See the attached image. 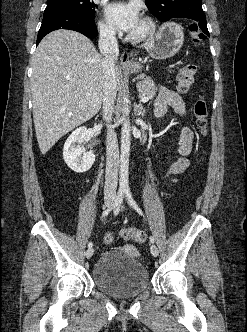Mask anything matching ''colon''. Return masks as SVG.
<instances>
[{"instance_id":"colon-1","label":"colon","mask_w":247,"mask_h":332,"mask_svg":"<svg viewBox=\"0 0 247 332\" xmlns=\"http://www.w3.org/2000/svg\"><path fill=\"white\" fill-rule=\"evenodd\" d=\"M188 33L195 43H199L205 39L204 32L195 24L188 27ZM197 74V67L194 64H187L183 66L178 73L177 83L180 92H186L194 83ZM193 114L197 128L202 135L207 134L208 126V107L207 102L203 95L199 96L193 105ZM120 236L124 240H132L137 243H143L146 241V233L143 230L134 228H123L120 231ZM113 235L109 232L103 236L105 244L109 245L113 242Z\"/></svg>"}]
</instances>
